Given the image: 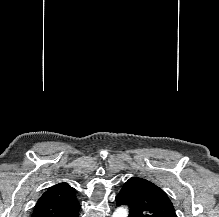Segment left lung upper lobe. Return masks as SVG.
Segmentation results:
<instances>
[{
	"label": "left lung upper lobe",
	"mask_w": 219,
	"mask_h": 217,
	"mask_svg": "<svg viewBox=\"0 0 219 217\" xmlns=\"http://www.w3.org/2000/svg\"><path fill=\"white\" fill-rule=\"evenodd\" d=\"M117 205H128V217H177L166 193L152 182L130 178L116 197Z\"/></svg>",
	"instance_id": "5c2ea615"
}]
</instances>
